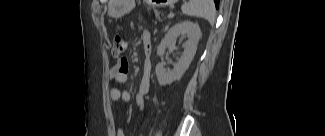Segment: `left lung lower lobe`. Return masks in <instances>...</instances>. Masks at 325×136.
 I'll use <instances>...</instances> for the list:
<instances>
[{"label":"left lung lower lobe","mask_w":325,"mask_h":136,"mask_svg":"<svg viewBox=\"0 0 325 136\" xmlns=\"http://www.w3.org/2000/svg\"><path fill=\"white\" fill-rule=\"evenodd\" d=\"M214 2H215V5H216V8H218L219 0H214Z\"/></svg>","instance_id":"0a47b994"}]
</instances>
